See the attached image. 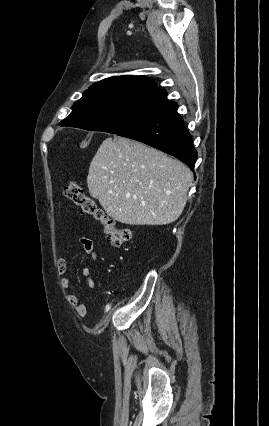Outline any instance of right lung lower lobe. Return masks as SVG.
<instances>
[{
  "mask_svg": "<svg viewBox=\"0 0 269 426\" xmlns=\"http://www.w3.org/2000/svg\"><path fill=\"white\" fill-rule=\"evenodd\" d=\"M177 108V103L167 99L165 91L150 113L131 128L117 135L166 152L193 169L197 160V151L182 117L177 113Z\"/></svg>",
  "mask_w": 269,
  "mask_h": 426,
  "instance_id": "98d812e1",
  "label": "right lung lower lobe"
}]
</instances>
